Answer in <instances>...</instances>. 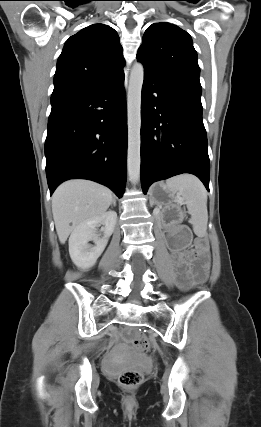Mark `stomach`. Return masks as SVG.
Wrapping results in <instances>:
<instances>
[{
    "mask_svg": "<svg viewBox=\"0 0 261 427\" xmlns=\"http://www.w3.org/2000/svg\"><path fill=\"white\" fill-rule=\"evenodd\" d=\"M175 194L164 183H157L150 190V202L157 205H170Z\"/></svg>",
    "mask_w": 261,
    "mask_h": 427,
    "instance_id": "stomach-1",
    "label": "stomach"
}]
</instances>
